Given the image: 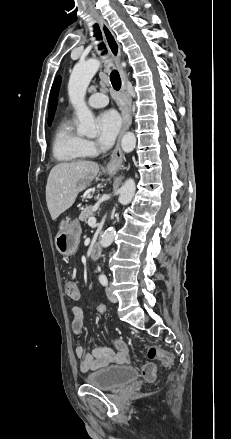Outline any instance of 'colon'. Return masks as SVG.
Wrapping results in <instances>:
<instances>
[{
	"label": "colon",
	"instance_id": "5ec220e1",
	"mask_svg": "<svg viewBox=\"0 0 231 439\" xmlns=\"http://www.w3.org/2000/svg\"><path fill=\"white\" fill-rule=\"evenodd\" d=\"M65 292L69 298H80L81 291L77 289L75 282L67 281L65 283ZM97 311H101L97 307ZM147 357L151 360H160L165 367H171L174 363L173 355L162 348L152 345L147 348ZM156 369L153 364H146L141 368V375L147 381L155 378Z\"/></svg>",
	"mask_w": 231,
	"mask_h": 439
}]
</instances>
